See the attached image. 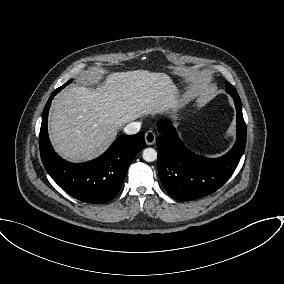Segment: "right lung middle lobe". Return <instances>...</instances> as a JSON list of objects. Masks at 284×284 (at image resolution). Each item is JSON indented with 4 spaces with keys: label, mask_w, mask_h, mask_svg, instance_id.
<instances>
[{
    "label": "right lung middle lobe",
    "mask_w": 284,
    "mask_h": 284,
    "mask_svg": "<svg viewBox=\"0 0 284 284\" xmlns=\"http://www.w3.org/2000/svg\"><path fill=\"white\" fill-rule=\"evenodd\" d=\"M72 80H69L67 83H65L63 86L59 87L58 89L55 90V92H59L61 91L66 85H68L69 83H71Z\"/></svg>",
    "instance_id": "right-lung-middle-lobe-1"
}]
</instances>
